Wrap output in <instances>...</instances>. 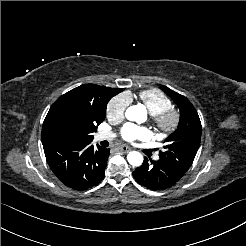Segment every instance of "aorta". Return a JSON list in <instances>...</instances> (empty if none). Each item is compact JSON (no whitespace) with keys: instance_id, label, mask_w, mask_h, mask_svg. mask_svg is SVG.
<instances>
[{"instance_id":"aorta-1","label":"aorta","mask_w":246,"mask_h":246,"mask_svg":"<svg viewBox=\"0 0 246 246\" xmlns=\"http://www.w3.org/2000/svg\"><path fill=\"white\" fill-rule=\"evenodd\" d=\"M125 116L130 121L142 123L146 120V108L143 105H133L127 108ZM127 160L132 166H140L143 163V156L138 151H131L127 155Z\"/></svg>"}]
</instances>
